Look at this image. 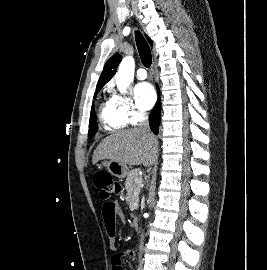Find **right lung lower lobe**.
I'll return each instance as SVG.
<instances>
[{
    "label": "right lung lower lobe",
    "mask_w": 267,
    "mask_h": 270,
    "mask_svg": "<svg viewBox=\"0 0 267 270\" xmlns=\"http://www.w3.org/2000/svg\"><path fill=\"white\" fill-rule=\"evenodd\" d=\"M160 99H158L156 105L149 115L150 128L154 134H158L159 123H160Z\"/></svg>",
    "instance_id": "right-lung-lower-lobe-1"
}]
</instances>
